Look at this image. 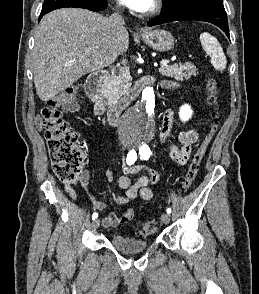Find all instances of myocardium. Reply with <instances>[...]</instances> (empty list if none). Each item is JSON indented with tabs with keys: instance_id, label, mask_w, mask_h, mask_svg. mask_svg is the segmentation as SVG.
Segmentation results:
<instances>
[{
	"instance_id": "1",
	"label": "myocardium",
	"mask_w": 259,
	"mask_h": 294,
	"mask_svg": "<svg viewBox=\"0 0 259 294\" xmlns=\"http://www.w3.org/2000/svg\"><path fill=\"white\" fill-rule=\"evenodd\" d=\"M162 9V0H152L151 7L144 12L145 16H153Z\"/></svg>"
}]
</instances>
